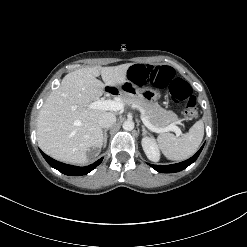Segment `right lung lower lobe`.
<instances>
[{"instance_id":"1","label":"right lung lower lobe","mask_w":247,"mask_h":247,"mask_svg":"<svg viewBox=\"0 0 247 247\" xmlns=\"http://www.w3.org/2000/svg\"><path fill=\"white\" fill-rule=\"evenodd\" d=\"M41 154L43 155V157L45 158V160L48 162V164L51 167L57 169L58 171H60L63 174L70 175V176H80V175L88 174L93 169H95L103 160V158H100L98 161H96L95 163H93L89 166L77 167V166H72V165L58 162V161L52 159L51 157L47 156L46 154H44L42 151H41Z\"/></svg>"}]
</instances>
